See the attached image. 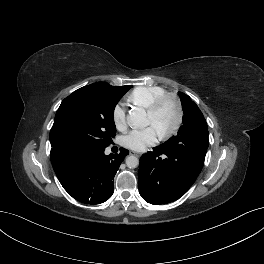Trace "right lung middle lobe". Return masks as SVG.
<instances>
[{
    "instance_id": "right-lung-middle-lobe-1",
    "label": "right lung middle lobe",
    "mask_w": 264,
    "mask_h": 264,
    "mask_svg": "<svg viewBox=\"0 0 264 264\" xmlns=\"http://www.w3.org/2000/svg\"><path fill=\"white\" fill-rule=\"evenodd\" d=\"M131 87L97 82L74 91L57 110L50 132L52 148L110 145L116 134L114 108Z\"/></svg>"
}]
</instances>
